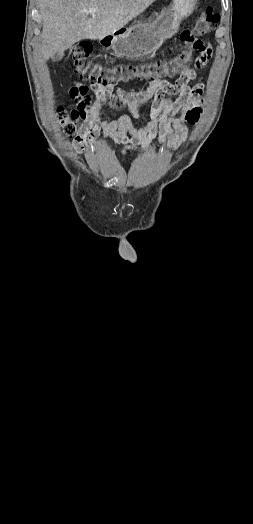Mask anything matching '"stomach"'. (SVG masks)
<instances>
[{"label":"stomach","mask_w":253,"mask_h":524,"mask_svg":"<svg viewBox=\"0 0 253 524\" xmlns=\"http://www.w3.org/2000/svg\"><path fill=\"white\" fill-rule=\"evenodd\" d=\"M197 0H173L153 22H137L99 39L104 46L123 57L140 58L157 50L178 32L180 23L194 11Z\"/></svg>","instance_id":"stomach-1"}]
</instances>
